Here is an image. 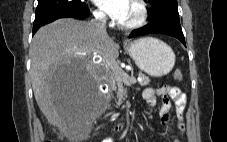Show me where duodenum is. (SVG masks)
Masks as SVG:
<instances>
[{"label": "duodenum", "instance_id": "obj_1", "mask_svg": "<svg viewBox=\"0 0 227 142\" xmlns=\"http://www.w3.org/2000/svg\"><path fill=\"white\" fill-rule=\"evenodd\" d=\"M123 129H124V124H121V123H120V124H118V125L115 126V130H116V131H121V130H123Z\"/></svg>", "mask_w": 227, "mask_h": 142}]
</instances>
